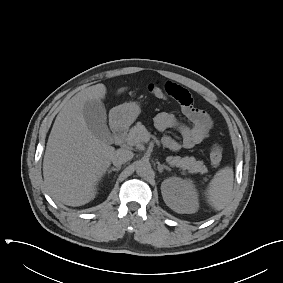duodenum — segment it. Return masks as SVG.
Segmentation results:
<instances>
[{"instance_id":"410a0bca","label":"duodenum","mask_w":283,"mask_h":283,"mask_svg":"<svg viewBox=\"0 0 283 283\" xmlns=\"http://www.w3.org/2000/svg\"><path fill=\"white\" fill-rule=\"evenodd\" d=\"M128 127L120 122L114 121L112 125V133L114 136L115 143L117 145H121L124 143L126 135H127Z\"/></svg>"}]
</instances>
